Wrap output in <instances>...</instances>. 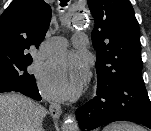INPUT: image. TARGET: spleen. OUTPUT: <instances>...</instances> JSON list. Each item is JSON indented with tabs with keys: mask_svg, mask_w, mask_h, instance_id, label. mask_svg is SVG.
<instances>
[{
	"mask_svg": "<svg viewBox=\"0 0 151 131\" xmlns=\"http://www.w3.org/2000/svg\"><path fill=\"white\" fill-rule=\"evenodd\" d=\"M103 131H144V129L129 123H113L106 126Z\"/></svg>",
	"mask_w": 151,
	"mask_h": 131,
	"instance_id": "1",
	"label": "spleen"
}]
</instances>
